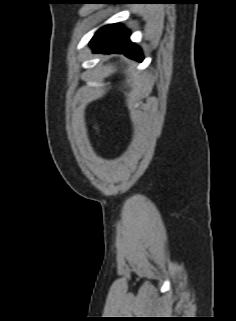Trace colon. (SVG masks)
<instances>
[{
  "label": "colon",
  "mask_w": 236,
  "mask_h": 321,
  "mask_svg": "<svg viewBox=\"0 0 236 321\" xmlns=\"http://www.w3.org/2000/svg\"><path fill=\"white\" fill-rule=\"evenodd\" d=\"M96 134H99V128L96 126Z\"/></svg>",
  "instance_id": "1"
}]
</instances>
